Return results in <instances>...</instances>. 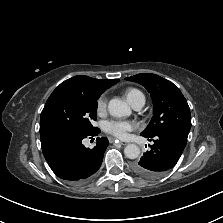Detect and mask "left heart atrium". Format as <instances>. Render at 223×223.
Returning a JSON list of instances; mask_svg holds the SVG:
<instances>
[{"label":"left heart atrium","instance_id":"1","mask_svg":"<svg viewBox=\"0 0 223 223\" xmlns=\"http://www.w3.org/2000/svg\"><path fill=\"white\" fill-rule=\"evenodd\" d=\"M105 132L120 138L125 139L128 133L134 130L135 124L127 120H109L104 123Z\"/></svg>","mask_w":223,"mask_h":223}]
</instances>
